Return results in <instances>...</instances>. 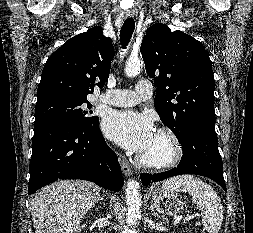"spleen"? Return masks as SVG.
<instances>
[{
    "instance_id": "obj_1",
    "label": "spleen",
    "mask_w": 253,
    "mask_h": 233,
    "mask_svg": "<svg viewBox=\"0 0 253 233\" xmlns=\"http://www.w3.org/2000/svg\"><path fill=\"white\" fill-rule=\"evenodd\" d=\"M163 187L193 196V202L203 212L202 224L209 233H218L223 221V206L211 186L192 175L174 177L164 182Z\"/></svg>"
}]
</instances>
